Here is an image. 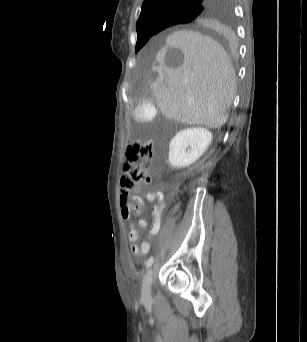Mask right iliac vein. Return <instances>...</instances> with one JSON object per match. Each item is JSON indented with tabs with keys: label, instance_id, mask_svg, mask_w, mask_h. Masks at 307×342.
Masks as SVG:
<instances>
[{
	"label": "right iliac vein",
	"instance_id": "63e3f726",
	"mask_svg": "<svg viewBox=\"0 0 307 342\" xmlns=\"http://www.w3.org/2000/svg\"><path fill=\"white\" fill-rule=\"evenodd\" d=\"M153 281V269L149 268L144 276L142 282V290H141V297L143 300H146L151 295V284Z\"/></svg>",
	"mask_w": 307,
	"mask_h": 342
}]
</instances>
